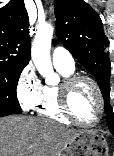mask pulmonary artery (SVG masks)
<instances>
[{
  "mask_svg": "<svg viewBox=\"0 0 114 156\" xmlns=\"http://www.w3.org/2000/svg\"><path fill=\"white\" fill-rule=\"evenodd\" d=\"M52 62L55 67L74 69V58L71 53L63 47H56L52 52Z\"/></svg>",
  "mask_w": 114,
  "mask_h": 156,
  "instance_id": "pulmonary-artery-1",
  "label": "pulmonary artery"
}]
</instances>
